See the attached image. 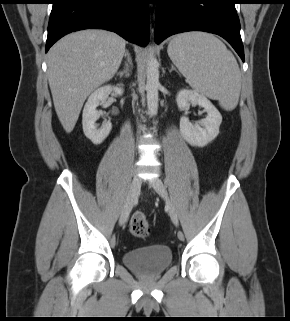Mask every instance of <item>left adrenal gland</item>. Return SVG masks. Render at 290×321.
Returning a JSON list of instances; mask_svg holds the SVG:
<instances>
[{
    "mask_svg": "<svg viewBox=\"0 0 290 321\" xmlns=\"http://www.w3.org/2000/svg\"><path fill=\"white\" fill-rule=\"evenodd\" d=\"M173 70L176 71L175 67L171 65V69L169 70V72H172Z\"/></svg>",
    "mask_w": 290,
    "mask_h": 321,
    "instance_id": "a2214340",
    "label": "left adrenal gland"
}]
</instances>
